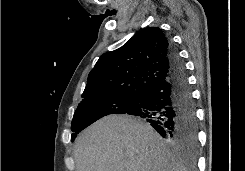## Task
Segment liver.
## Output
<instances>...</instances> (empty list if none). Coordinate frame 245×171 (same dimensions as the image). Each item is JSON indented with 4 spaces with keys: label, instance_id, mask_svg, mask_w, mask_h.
<instances>
[{
    "label": "liver",
    "instance_id": "6515ba94",
    "mask_svg": "<svg viewBox=\"0 0 245 171\" xmlns=\"http://www.w3.org/2000/svg\"><path fill=\"white\" fill-rule=\"evenodd\" d=\"M76 171H186L147 123L127 115H110L76 139Z\"/></svg>",
    "mask_w": 245,
    "mask_h": 171
}]
</instances>
